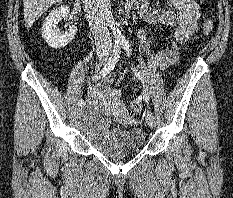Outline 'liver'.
<instances>
[{
    "mask_svg": "<svg viewBox=\"0 0 233 198\" xmlns=\"http://www.w3.org/2000/svg\"><path fill=\"white\" fill-rule=\"evenodd\" d=\"M62 0H24V21L26 29L32 27L33 23L52 5Z\"/></svg>",
    "mask_w": 233,
    "mask_h": 198,
    "instance_id": "obj_1",
    "label": "liver"
}]
</instances>
